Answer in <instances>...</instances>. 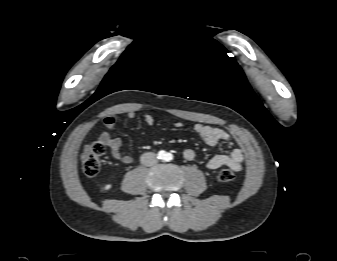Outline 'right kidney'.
Wrapping results in <instances>:
<instances>
[{
  "label": "right kidney",
  "mask_w": 337,
  "mask_h": 261,
  "mask_svg": "<svg viewBox=\"0 0 337 261\" xmlns=\"http://www.w3.org/2000/svg\"><path fill=\"white\" fill-rule=\"evenodd\" d=\"M111 187H112L111 184H107V185H105V187H104L103 189H104V190H109Z\"/></svg>",
  "instance_id": "obj_1"
}]
</instances>
